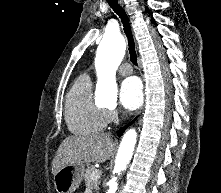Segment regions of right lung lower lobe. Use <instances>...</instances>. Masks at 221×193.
I'll use <instances>...</instances> for the list:
<instances>
[{
	"label": "right lung lower lobe",
	"mask_w": 221,
	"mask_h": 193,
	"mask_svg": "<svg viewBox=\"0 0 221 193\" xmlns=\"http://www.w3.org/2000/svg\"><path fill=\"white\" fill-rule=\"evenodd\" d=\"M130 124H131V123H130ZM130 124H128L127 126L121 128V129H119V131H118V135L123 134V132L125 131V129H126Z\"/></svg>",
	"instance_id": "obj_1"
}]
</instances>
